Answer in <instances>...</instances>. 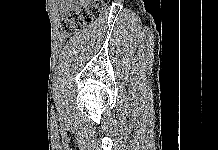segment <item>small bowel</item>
Returning <instances> with one entry per match:
<instances>
[{"instance_id": "c3829d8e", "label": "small bowel", "mask_w": 218, "mask_h": 150, "mask_svg": "<svg viewBox=\"0 0 218 150\" xmlns=\"http://www.w3.org/2000/svg\"><path fill=\"white\" fill-rule=\"evenodd\" d=\"M61 9L63 12H68L72 9H77L78 7L88 6L93 0H60Z\"/></svg>"}]
</instances>
